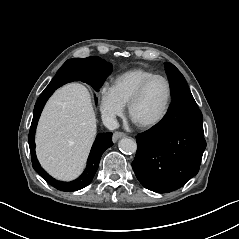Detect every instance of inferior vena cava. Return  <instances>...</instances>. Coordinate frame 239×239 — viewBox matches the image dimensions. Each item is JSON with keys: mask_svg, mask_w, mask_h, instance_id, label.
Wrapping results in <instances>:
<instances>
[{"mask_svg": "<svg viewBox=\"0 0 239 239\" xmlns=\"http://www.w3.org/2000/svg\"><path fill=\"white\" fill-rule=\"evenodd\" d=\"M102 121L104 126L107 127L109 130H115L119 128V123L114 116L103 115Z\"/></svg>", "mask_w": 239, "mask_h": 239, "instance_id": "inferior-vena-cava-1", "label": "inferior vena cava"}]
</instances>
